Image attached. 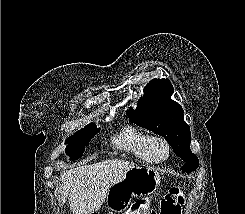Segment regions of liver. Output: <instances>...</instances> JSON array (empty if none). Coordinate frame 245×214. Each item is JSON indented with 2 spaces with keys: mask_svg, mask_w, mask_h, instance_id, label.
I'll list each match as a JSON object with an SVG mask.
<instances>
[{
  "mask_svg": "<svg viewBox=\"0 0 245 214\" xmlns=\"http://www.w3.org/2000/svg\"><path fill=\"white\" fill-rule=\"evenodd\" d=\"M134 163L107 159L70 169L62 174L58 201L64 205L67 197L73 214H91L105 202L108 190L118 183Z\"/></svg>",
  "mask_w": 245,
  "mask_h": 214,
  "instance_id": "obj_1",
  "label": "liver"
}]
</instances>
